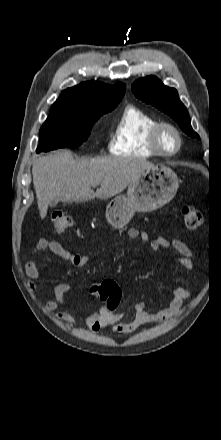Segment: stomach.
<instances>
[{
	"label": "stomach",
	"instance_id": "1",
	"mask_svg": "<svg viewBox=\"0 0 221 440\" xmlns=\"http://www.w3.org/2000/svg\"><path fill=\"white\" fill-rule=\"evenodd\" d=\"M178 188L179 179L172 169L153 166L128 185L126 195L111 200L106 208V219L114 228H122L135 211L150 212L168 203Z\"/></svg>",
	"mask_w": 221,
	"mask_h": 440
}]
</instances>
